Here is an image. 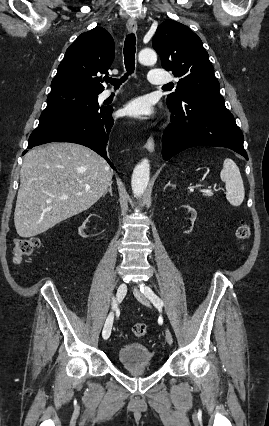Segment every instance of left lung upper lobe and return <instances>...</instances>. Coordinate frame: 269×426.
<instances>
[{
    "label": "left lung upper lobe",
    "instance_id": "1",
    "mask_svg": "<svg viewBox=\"0 0 269 426\" xmlns=\"http://www.w3.org/2000/svg\"><path fill=\"white\" fill-rule=\"evenodd\" d=\"M153 48L162 67L179 78L175 92L167 96V104H176L199 90L219 91L220 84L201 39L187 26L166 20L156 30Z\"/></svg>",
    "mask_w": 269,
    "mask_h": 426
}]
</instances>
